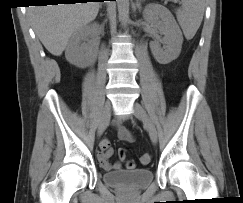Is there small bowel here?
<instances>
[{"label":"small bowel","instance_id":"obj_1","mask_svg":"<svg viewBox=\"0 0 243 203\" xmlns=\"http://www.w3.org/2000/svg\"><path fill=\"white\" fill-rule=\"evenodd\" d=\"M115 128L117 131V136L120 140L131 142L133 140V136L129 130L120 124L116 123ZM100 151L97 153V158L100 166L104 170H119L121 168L120 162L110 163V158L113 155V149L111 147L110 141L108 139H103L100 142Z\"/></svg>","mask_w":243,"mask_h":203}]
</instances>
